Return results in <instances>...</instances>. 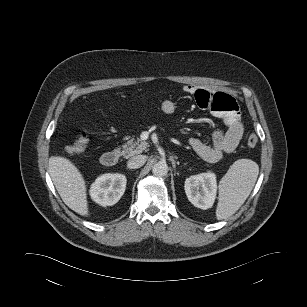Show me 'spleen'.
Listing matches in <instances>:
<instances>
[{
    "mask_svg": "<svg viewBox=\"0 0 307 307\" xmlns=\"http://www.w3.org/2000/svg\"><path fill=\"white\" fill-rule=\"evenodd\" d=\"M259 174V166L250 159H239L219 182L216 218L226 219L243 205L250 195Z\"/></svg>",
    "mask_w": 307,
    "mask_h": 307,
    "instance_id": "1",
    "label": "spleen"
}]
</instances>
